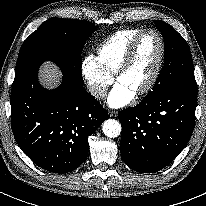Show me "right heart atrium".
Here are the masks:
<instances>
[{
	"instance_id": "d8ad5b80",
	"label": "right heart atrium",
	"mask_w": 206,
	"mask_h": 206,
	"mask_svg": "<svg viewBox=\"0 0 206 206\" xmlns=\"http://www.w3.org/2000/svg\"><path fill=\"white\" fill-rule=\"evenodd\" d=\"M81 72L86 81L89 93L95 99H102L113 83L114 76L107 73L94 56H86L81 65Z\"/></svg>"
}]
</instances>
